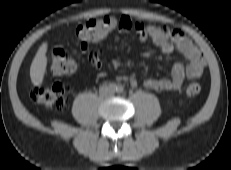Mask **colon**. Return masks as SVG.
I'll use <instances>...</instances> for the list:
<instances>
[{"mask_svg": "<svg viewBox=\"0 0 231 170\" xmlns=\"http://www.w3.org/2000/svg\"><path fill=\"white\" fill-rule=\"evenodd\" d=\"M118 20L111 16L99 19H90L76 30V37L82 42H93L105 38L118 27ZM76 61L63 47H56L52 53L50 71L57 76L73 73L76 70ZM68 87L62 83H54L46 87H34L30 91V98L37 104L61 110L68 106ZM201 92L198 82H191L186 87L188 96H196Z\"/></svg>", "mask_w": 231, "mask_h": 170, "instance_id": "1", "label": "colon"}]
</instances>
